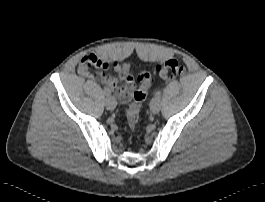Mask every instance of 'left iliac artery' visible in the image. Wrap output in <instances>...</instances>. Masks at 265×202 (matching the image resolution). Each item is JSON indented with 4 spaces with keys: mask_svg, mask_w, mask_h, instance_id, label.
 <instances>
[{
    "mask_svg": "<svg viewBox=\"0 0 265 202\" xmlns=\"http://www.w3.org/2000/svg\"><path fill=\"white\" fill-rule=\"evenodd\" d=\"M155 98H158V99L161 98V92L160 91H158V92L155 93Z\"/></svg>",
    "mask_w": 265,
    "mask_h": 202,
    "instance_id": "left-iliac-artery-1",
    "label": "left iliac artery"
}]
</instances>
